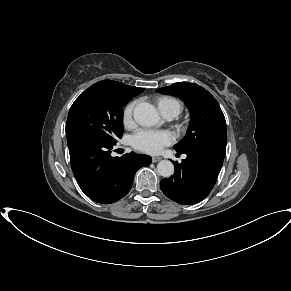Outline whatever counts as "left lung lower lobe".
<instances>
[{"label": "left lung lower lobe", "mask_w": 291, "mask_h": 291, "mask_svg": "<svg viewBox=\"0 0 291 291\" xmlns=\"http://www.w3.org/2000/svg\"><path fill=\"white\" fill-rule=\"evenodd\" d=\"M183 153L187 158L180 164L174 162V174L161 180L160 187L171 200L190 205L208 196L220 173L226 152L192 149Z\"/></svg>", "instance_id": "obj_1"}]
</instances>
